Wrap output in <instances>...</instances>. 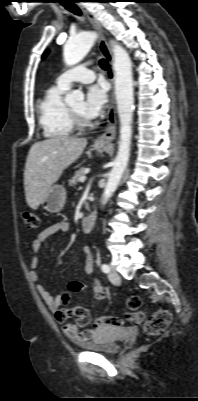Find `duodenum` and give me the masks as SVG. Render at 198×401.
Segmentation results:
<instances>
[{
    "instance_id": "duodenum-1",
    "label": "duodenum",
    "mask_w": 198,
    "mask_h": 401,
    "mask_svg": "<svg viewBox=\"0 0 198 401\" xmlns=\"http://www.w3.org/2000/svg\"><path fill=\"white\" fill-rule=\"evenodd\" d=\"M96 217L97 216L95 213H91L82 220L81 227L83 232L88 233L93 229L96 222Z\"/></svg>"
}]
</instances>
